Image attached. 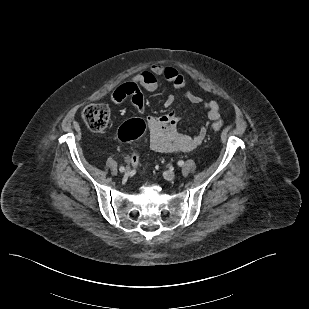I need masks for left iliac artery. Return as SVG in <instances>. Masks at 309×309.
<instances>
[{
	"label": "left iliac artery",
	"instance_id": "1",
	"mask_svg": "<svg viewBox=\"0 0 309 309\" xmlns=\"http://www.w3.org/2000/svg\"><path fill=\"white\" fill-rule=\"evenodd\" d=\"M178 166H183L184 165V161L183 160H180V161H178Z\"/></svg>",
	"mask_w": 309,
	"mask_h": 309
}]
</instances>
